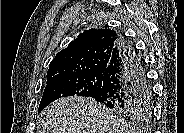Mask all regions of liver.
<instances>
[{"label": "liver", "instance_id": "1", "mask_svg": "<svg viewBox=\"0 0 184 133\" xmlns=\"http://www.w3.org/2000/svg\"><path fill=\"white\" fill-rule=\"evenodd\" d=\"M41 133H131L133 128L91 98H60L39 118Z\"/></svg>", "mask_w": 184, "mask_h": 133}]
</instances>
